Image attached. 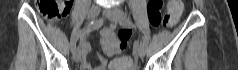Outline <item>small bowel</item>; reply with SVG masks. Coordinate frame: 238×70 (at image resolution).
Segmentation results:
<instances>
[{
	"label": "small bowel",
	"mask_w": 238,
	"mask_h": 70,
	"mask_svg": "<svg viewBox=\"0 0 238 70\" xmlns=\"http://www.w3.org/2000/svg\"><path fill=\"white\" fill-rule=\"evenodd\" d=\"M120 40L117 38L115 33V26H111L110 28L103 29L101 31V45L103 52L106 56L112 57L120 53L121 48L119 46ZM81 49L82 53L84 55V58L90 53V44L87 40H82L81 43ZM99 64L95 66L94 68H91L89 63L84 60L81 69L82 70H106L107 69V60L101 56L98 55Z\"/></svg>",
	"instance_id": "1"
}]
</instances>
